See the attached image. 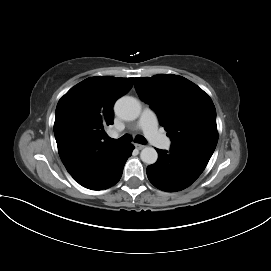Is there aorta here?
I'll use <instances>...</instances> for the list:
<instances>
[{"instance_id":"obj_1","label":"aorta","mask_w":271,"mask_h":271,"mask_svg":"<svg viewBox=\"0 0 271 271\" xmlns=\"http://www.w3.org/2000/svg\"><path fill=\"white\" fill-rule=\"evenodd\" d=\"M115 113L123 120H135L141 113L140 102L130 96L121 97L115 103ZM141 160L146 164H154L157 161L158 154L152 147H145L140 153Z\"/></svg>"}]
</instances>
